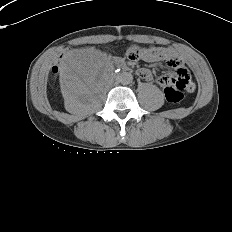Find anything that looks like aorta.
I'll return each mask as SVG.
<instances>
[{"instance_id": "obj_1", "label": "aorta", "mask_w": 232, "mask_h": 232, "mask_svg": "<svg viewBox=\"0 0 232 232\" xmlns=\"http://www.w3.org/2000/svg\"><path fill=\"white\" fill-rule=\"evenodd\" d=\"M130 80H131V77H130L129 74L123 75V77H122V82L123 83H128V82H130Z\"/></svg>"}]
</instances>
